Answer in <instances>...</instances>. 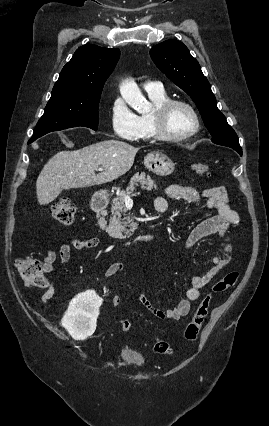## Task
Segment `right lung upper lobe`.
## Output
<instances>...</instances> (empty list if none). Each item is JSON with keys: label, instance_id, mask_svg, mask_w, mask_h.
<instances>
[{"label": "right lung upper lobe", "instance_id": "obj_1", "mask_svg": "<svg viewBox=\"0 0 269 426\" xmlns=\"http://www.w3.org/2000/svg\"><path fill=\"white\" fill-rule=\"evenodd\" d=\"M119 56L120 50L116 48L93 44L81 46L63 67L52 93H64L69 97L101 95Z\"/></svg>", "mask_w": 269, "mask_h": 426}]
</instances>
